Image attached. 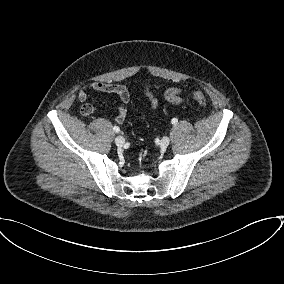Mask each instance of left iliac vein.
<instances>
[{
  "label": "left iliac vein",
  "mask_w": 284,
  "mask_h": 284,
  "mask_svg": "<svg viewBox=\"0 0 284 284\" xmlns=\"http://www.w3.org/2000/svg\"><path fill=\"white\" fill-rule=\"evenodd\" d=\"M170 143V138L165 136L161 139L160 146L162 149H166Z\"/></svg>",
  "instance_id": "obj_1"
}]
</instances>
